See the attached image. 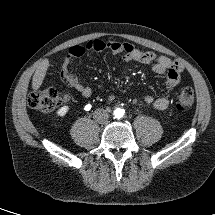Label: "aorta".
<instances>
[{
    "instance_id": "obj_1",
    "label": "aorta",
    "mask_w": 215,
    "mask_h": 215,
    "mask_svg": "<svg viewBox=\"0 0 215 215\" xmlns=\"http://www.w3.org/2000/svg\"><path fill=\"white\" fill-rule=\"evenodd\" d=\"M123 115H124V110L123 109L118 108V109L115 110V116L117 118H121Z\"/></svg>"
}]
</instances>
